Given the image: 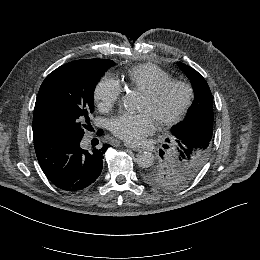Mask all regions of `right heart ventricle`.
<instances>
[{
  "instance_id": "right-heart-ventricle-1",
  "label": "right heart ventricle",
  "mask_w": 260,
  "mask_h": 260,
  "mask_svg": "<svg viewBox=\"0 0 260 260\" xmlns=\"http://www.w3.org/2000/svg\"><path fill=\"white\" fill-rule=\"evenodd\" d=\"M171 79L172 76L168 72L154 65H138L123 76L124 84L127 87L139 90L142 93Z\"/></svg>"
}]
</instances>
